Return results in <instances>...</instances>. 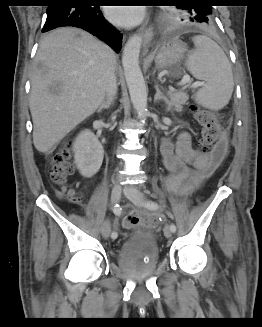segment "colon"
<instances>
[{
	"label": "colon",
	"instance_id": "obj_1",
	"mask_svg": "<svg viewBox=\"0 0 262 327\" xmlns=\"http://www.w3.org/2000/svg\"><path fill=\"white\" fill-rule=\"evenodd\" d=\"M192 111L199 124V151L209 153L211 169H216L220 167L228 153V142L223 134L222 127L216 115L210 110L193 105ZM71 149V144H69L57 152L53 157L49 170L52 182L61 186L67 196L72 195V192L65 186L67 177L74 171V164L71 161ZM143 219L150 225H156L161 218L158 215H148ZM140 220L138 216L129 214L123 217L122 225L130 228Z\"/></svg>",
	"mask_w": 262,
	"mask_h": 327
}]
</instances>
